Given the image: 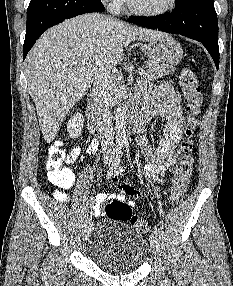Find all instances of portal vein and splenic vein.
Wrapping results in <instances>:
<instances>
[{
  "label": "portal vein and splenic vein",
  "instance_id": "1",
  "mask_svg": "<svg viewBox=\"0 0 233 286\" xmlns=\"http://www.w3.org/2000/svg\"><path fill=\"white\" fill-rule=\"evenodd\" d=\"M138 73H139V75H143V74H145V70L139 69V70H138Z\"/></svg>",
  "mask_w": 233,
  "mask_h": 286
}]
</instances>
